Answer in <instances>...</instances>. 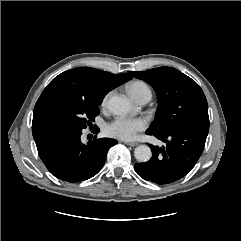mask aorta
Instances as JSON below:
<instances>
[{
	"mask_svg": "<svg viewBox=\"0 0 241 241\" xmlns=\"http://www.w3.org/2000/svg\"><path fill=\"white\" fill-rule=\"evenodd\" d=\"M109 109L116 115H126L131 111L130 102L121 96H113L108 103ZM151 149L147 145H140L135 148L134 156L139 162H147L151 158Z\"/></svg>",
	"mask_w": 241,
	"mask_h": 241,
	"instance_id": "obj_1",
	"label": "aorta"
}]
</instances>
